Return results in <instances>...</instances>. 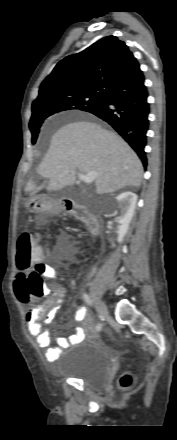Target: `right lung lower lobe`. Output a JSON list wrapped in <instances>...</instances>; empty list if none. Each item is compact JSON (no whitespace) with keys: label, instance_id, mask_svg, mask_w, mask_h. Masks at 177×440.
I'll return each mask as SVG.
<instances>
[{"label":"right lung lower lobe","instance_id":"1","mask_svg":"<svg viewBox=\"0 0 177 440\" xmlns=\"http://www.w3.org/2000/svg\"><path fill=\"white\" fill-rule=\"evenodd\" d=\"M148 92L141 70L121 81L105 93L102 100L87 112L109 123L135 150L144 166V151L149 129Z\"/></svg>","mask_w":177,"mask_h":440}]
</instances>
